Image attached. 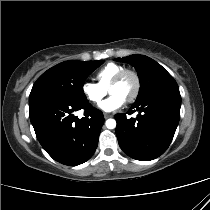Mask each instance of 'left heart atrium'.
<instances>
[{
	"label": "left heart atrium",
	"mask_w": 210,
	"mask_h": 210,
	"mask_svg": "<svg viewBox=\"0 0 210 210\" xmlns=\"http://www.w3.org/2000/svg\"><path fill=\"white\" fill-rule=\"evenodd\" d=\"M125 103V100L117 95L112 94L99 105V108L104 112H113L119 110Z\"/></svg>",
	"instance_id": "obj_1"
}]
</instances>
